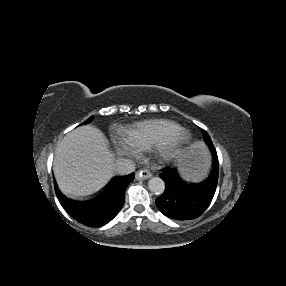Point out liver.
Instances as JSON below:
<instances>
[{
    "label": "liver",
    "instance_id": "liver-1",
    "mask_svg": "<svg viewBox=\"0 0 286 286\" xmlns=\"http://www.w3.org/2000/svg\"><path fill=\"white\" fill-rule=\"evenodd\" d=\"M114 163L104 134L96 127L84 125L69 132L59 143L53 172L64 194L86 196L112 178Z\"/></svg>",
    "mask_w": 286,
    "mask_h": 286
}]
</instances>
